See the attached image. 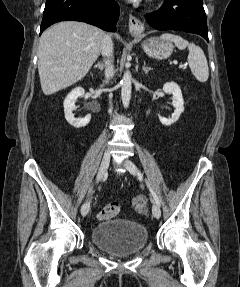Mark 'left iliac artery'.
I'll list each match as a JSON object with an SVG mask.
<instances>
[{
    "instance_id": "44dca946",
    "label": "left iliac artery",
    "mask_w": 240,
    "mask_h": 287,
    "mask_svg": "<svg viewBox=\"0 0 240 287\" xmlns=\"http://www.w3.org/2000/svg\"><path fill=\"white\" fill-rule=\"evenodd\" d=\"M138 175L140 176V178L143 177L140 172L138 173ZM146 184H147V186H148V188H149V190H150V192H151L156 204L160 206L161 203H160V200H159L158 196L156 195V193L154 192V190L152 189V187L150 186V184L147 181H146Z\"/></svg>"
}]
</instances>
